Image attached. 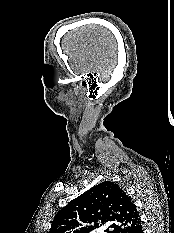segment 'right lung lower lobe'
Segmentation results:
<instances>
[{"instance_id":"98d812e1","label":"right lung lower lobe","mask_w":174,"mask_h":233,"mask_svg":"<svg viewBox=\"0 0 174 233\" xmlns=\"http://www.w3.org/2000/svg\"><path fill=\"white\" fill-rule=\"evenodd\" d=\"M134 233H143L142 226H140Z\"/></svg>"}]
</instances>
